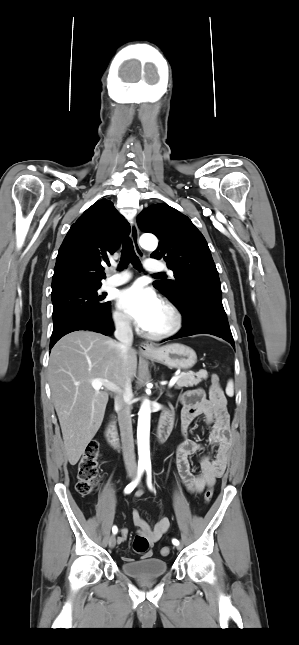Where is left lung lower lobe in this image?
Segmentation results:
<instances>
[{"label": "left lung lower lobe", "instance_id": "0a47b994", "mask_svg": "<svg viewBox=\"0 0 299 645\" xmlns=\"http://www.w3.org/2000/svg\"><path fill=\"white\" fill-rule=\"evenodd\" d=\"M187 303L186 307L190 311L189 314L185 312L184 308L176 306L183 316V328L178 334L169 339L195 334H211L225 339L235 348L234 339L222 304L221 289H209L202 293L197 300L188 301Z\"/></svg>", "mask_w": 299, "mask_h": 645}]
</instances>
